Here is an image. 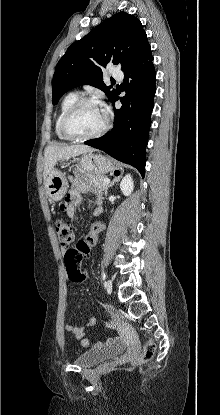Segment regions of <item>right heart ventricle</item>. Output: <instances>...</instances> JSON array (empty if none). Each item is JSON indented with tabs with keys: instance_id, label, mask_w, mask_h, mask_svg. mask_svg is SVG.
<instances>
[{
	"instance_id": "e07e8e85",
	"label": "right heart ventricle",
	"mask_w": 220,
	"mask_h": 415,
	"mask_svg": "<svg viewBox=\"0 0 220 415\" xmlns=\"http://www.w3.org/2000/svg\"><path fill=\"white\" fill-rule=\"evenodd\" d=\"M79 99H80V94L78 92H71L63 98V100L61 102V105H60V108H59V112L57 114V117H56L55 123H54L55 133H56V136L59 139L70 140L66 136H64L63 133L61 132L60 123H61V119H62L64 113L67 111V109L69 107H71Z\"/></svg>"
}]
</instances>
